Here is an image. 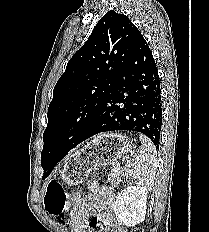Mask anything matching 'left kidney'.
Here are the masks:
<instances>
[{"label":"left kidney","instance_id":"obj_1","mask_svg":"<svg viewBox=\"0 0 209 232\" xmlns=\"http://www.w3.org/2000/svg\"><path fill=\"white\" fill-rule=\"evenodd\" d=\"M147 189L128 186L121 190L114 204V212L119 224L134 227L145 219Z\"/></svg>","mask_w":209,"mask_h":232}]
</instances>
